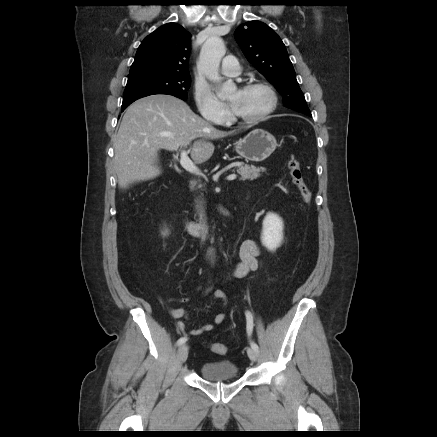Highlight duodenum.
<instances>
[{
    "label": "duodenum",
    "instance_id": "1",
    "mask_svg": "<svg viewBox=\"0 0 437 437\" xmlns=\"http://www.w3.org/2000/svg\"><path fill=\"white\" fill-rule=\"evenodd\" d=\"M183 223H184L186 229L191 234H193L195 236L204 235L206 227L203 224L188 220L186 218H183Z\"/></svg>",
    "mask_w": 437,
    "mask_h": 437
}]
</instances>
